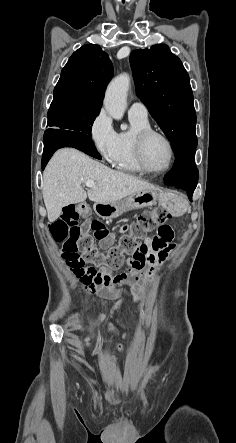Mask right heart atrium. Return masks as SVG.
<instances>
[{"label":"right heart atrium","instance_id":"d8ad5b80","mask_svg":"<svg viewBox=\"0 0 236 443\" xmlns=\"http://www.w3.org/2000/svg\"><path fill=\"white\" fill-rule=\"evenodd\" d=\"M88 137L102 159L113 164L119 152L118 133L104 109H100L91 120L88 127Z\"/></svg>","mask_w":236,"mask_h":443}]
</instances>
